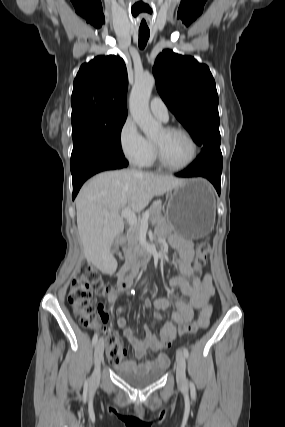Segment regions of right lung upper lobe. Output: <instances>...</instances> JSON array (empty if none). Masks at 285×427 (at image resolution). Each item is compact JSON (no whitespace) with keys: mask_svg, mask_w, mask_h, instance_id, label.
<instances>
[{"mask_svg":"<svg viewBox=\"0 0 285 427\" xmlns=\"http://www.w3.org/2000/svg\"><path fill=\"white\" fill-rule=\"evenodd\" d=\"M127 70L120 57L97 56L83 64L74 80L72 117L83 114L127 115Z\"/></svg>","mask_w":285,"mask_h":427,"instance_id":"right-lung-upper-lobe-1","label":"right lung upper lobe"}]
</instances>
